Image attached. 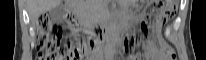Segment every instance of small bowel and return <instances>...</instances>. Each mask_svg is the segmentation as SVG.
Instances as JSON below:
<instances>
[{
	"label": "small bowel",
	"mask_w": 206,
	"mask_h": 60,
	"mask_svg": "<svg viewBox=\"0 0 206 60\" xmlns=\"http://www.w3.org/2000/svg\"><path fill=\"white\" fill-rule=\"evenodd\" d=\"M161 25V21L160 20H158L157 21V26L159 27ZM160 58L159 59H164V60H166V58H164L161 54H157ZM128 60H136V59H138V58H135V57H128L127 58Z\"/></svg>",
	"instance_id": "small-bowel-1"
}]
</instances>
